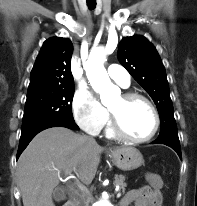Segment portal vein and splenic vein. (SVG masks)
<instances>
[{
  "label": "portal vein and splenic vein",
  "mask_w": 197,
  "mask_h": 206,
  "mask_svg": "<svg viewBox=\"0 0 197 206\" xmlns=\"http://www.w3.org/2000/svg\"><path fill=\"white\" fill-rule=\"evenodd\" d=\"M66 174L69 175V176H68L69 178H73V176L71 175V172H66ZM77 186H78L80 189L84 188V186H82L79 182H77ZM119 197H121V192H118V193H117V198H119Z\"/></svg>",
  "instance_id": "portal-vein-and-splenic-vein-1"
}]
</instances>
